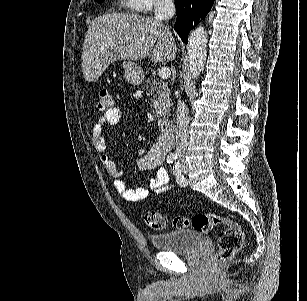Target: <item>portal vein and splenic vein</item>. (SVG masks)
Segmentation results:
<instances>
[{"instance_id": "18ae733b", "label": "portal vein and splenic vein", "mask_w": 307, "mask_h": 301, "mask_svg": "<svg viewBox=\"0 0 307 301\" xmlns=\"http://www.w3.org/2000/svg\"><path fill=\"white\" fill-rule=\"evenodd\" d=\"M170 74V68H166V66H161L159 70V76H161V78H170Z\"/></svg>"}]
</instances>
